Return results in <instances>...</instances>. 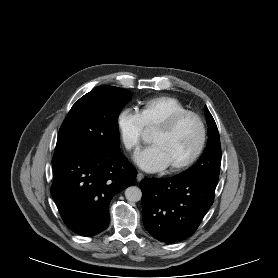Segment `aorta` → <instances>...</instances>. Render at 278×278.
<instances>
[{
    "instance_id": "obj_1",
    "label": "aorta",
    "mask_w": 278,
    "mask_h": 278,
    "mask_svg": "<svg viewBox=\"0 0 278 278\" xmlns=\"http://www.w3.org/2000/svg\"><path fill=\"white\" fill-rule=\"evenodd\" d=\"M125 197L129 202H138L142 198V191L136 186L128 187L125 190Z\"/></svg>"
}]
</instances>
